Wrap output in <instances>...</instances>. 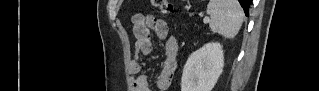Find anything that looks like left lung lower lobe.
Instances as JSON below:
<instances>
[{"instance_id": "left-lung-lower-lobe-1", "label": "left lung lower lobe", "mask_w": 319, "mask_h": 91, "mask_svg": "<svg viewBox=\"0 0 319 91\" xmlns=\"http://www.w3.org/2000/svg\"><path fill=\"white\" fill-rule=\"evenodd\" d=\"M238 1L242 5L245 15L247 16L249 14V5L251 3V0H238Z\"/></svg>"}]
</instances>
